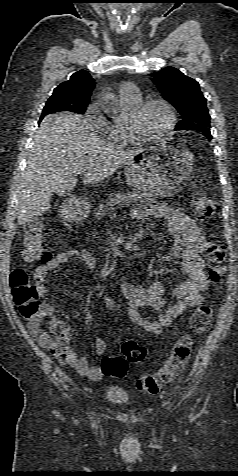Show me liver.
<instances>
[{"label":"liver","mask_w":238,"mask_h":476,"mask_svg":"<svg viewBox=\"0 0 238 476\" xmlns=\"http://www.w3.org/2000/svg\"><path fill=\"white\" fill-rule=\"evenodd\" d=\"M142 152L120 150L101 141L81 115L46 116L35 133L18 187V224L32 222L48 211L54 193L68 194L77 184L78 172H86L84 184H96Z\"/></svg>","instance_id":"1"}]
</instances>
